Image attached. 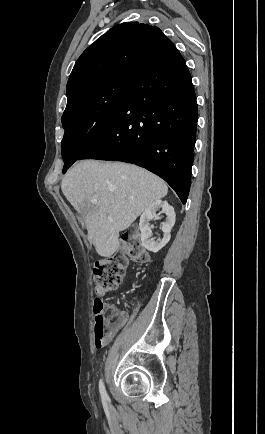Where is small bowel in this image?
Listing matches in <instances>:
<instances>
[{"instance_id": "c3829d8e", "label": "small bowel", "mask_w": 265, "mask_h": 434, "mask_svg": "<svg viewBox=\"0 0 265 434\" xmlns=\"http://www.w3.org/2000/svg\"><path fill=\"white\" fill-rule=\"evenodd\" d=\"M108 308L115 310L113 305L108 306ZM116 312H117V315L119 318V324L117 326L112 327L111 336H113L121 327H123L128 320V317L124 312H122V311H116Z\"/></svg>"}]
</instances>
